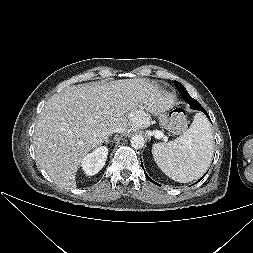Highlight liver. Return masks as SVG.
<instances>
[{
    "mask_svg": "<svg viewBox=\"0 0 253 253\" xmlns=\"http://www.w3.org/2000/svg\"><path fill=\"white\" fill-rule=\"evenodd\" d=\"M175 97L145 79L83 84L54 94L39 115L34 132L36 160L61 188H76V173L86 154L100 145L108 129L144 128L150 114L169 110Z\"/></svg>",
    "mask_w": 253,
    "mask_h": 253,
    "instance_id": "obj_1",
    "label": "liver"
}]
</instances>
